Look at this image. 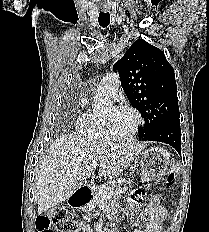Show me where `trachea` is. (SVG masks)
<instances>
[{
	"instance_id": "3493384b",
	"label": "trachea",
	"mask_w": 209,
	"mask_h": 232,
	"mask_svg": "<svg viewBox=\"0 0 209 232\" xmlns=\"http://www.w3.org/2000/svg\"><path fill=\"white\" fill-rule=\"evenodd\" d=\"M99 25L103 28L107 27L110 23V14L109 12L101 11L98 17Z\"/></svg>"
}]
</instances>
